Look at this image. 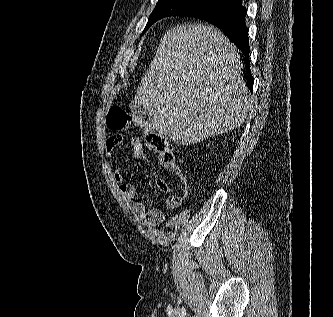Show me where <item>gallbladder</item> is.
Wrapping results in <instances>:
<instances>
[{"label": "gallbladder", "instance_id": "obj_1", "mask_svg": "<svg viewBox=\"0 0 333 317\" xmlns=\"http://www.w3.org/2000/svg\"><path fill=\"white\" fill-rule=\"evenodd\" d=\"M129 108L133 114L138 116H144L147 113L146 109L142 105H139L137 102L134 101L129 104Z\"/></svg>", "mask_w": 333, "mask_h": 317}]
</instances>
